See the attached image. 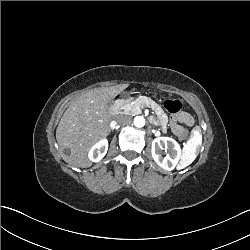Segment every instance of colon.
Here are the masks:
<instances>
[{"label":"colon","mask_w":250,"mask_h":250,"mask_svg":"<svg viewBox=\"0 0 250 250\" xmlns=\"http://www.w3.org/2000/svg\"><path fill=\"white\" fill-rule=\"evenodd\" d=\"M162 105L166 108V110L171 113L172 115H175L177 118H179L181 121L187 123V124H192V119L189 115L186 113L181 112L182 109V103L178 100H172L170 97H165L162 100ZM188 130L187 129H182L180 131V140L181 141H186L188 138Z\"/></svg>","instance_id":"colon-1"}]
</instances>
